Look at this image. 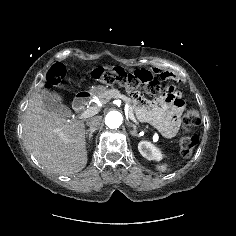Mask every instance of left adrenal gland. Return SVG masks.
Returning a JSON list of instances; mask_svg holds the SVG:
<instances>
[{
    "label": "left adrenal gland",
    "instance_id": "obj_1",
    "mask_svg": "<svg viewBox=\"0 0 236 236\" xmlns=\"http://www.w3.org/2000/svg\"><path fill=\"white\" fill-rule=\"evenodd\" d=\"M132 127H133V130L131 131V134H132L133 136L139 137V135L137 134L136 125H132Z\"/></svg>",
    "mask_w": 236,
    "mask_h": 236
}]
</instances>
